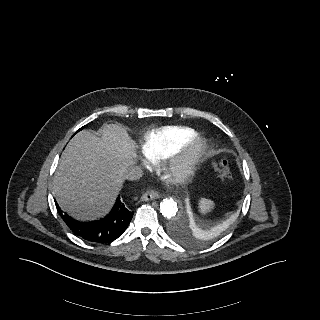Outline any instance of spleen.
<instances>
[{
    "label": "spleen",
    "instance_id": "1",
    "mask_svg": "<svg viewBox=\"0 0 320 320\" xmlns=\"http://www.w3.org/2000/svg\"><path fill=\"white\" fill-rule=\"evenodd\" d=\"M199 208L201 213L206 214L214 208V202L207 199H201L199 202Z\"/></svg>",
    "mask_w": 320,
    "mask_h": 320
}]
</instances>
